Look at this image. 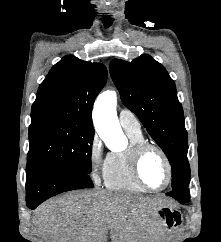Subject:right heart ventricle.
Returning a JSON list of instances; mask_svg holds the SVG:
<instances>
[{
	"instance_id": "right-heart-ventricle-1",
	"label": "right heart ventricle",
	"mask_w": 221,
	"mask_h": 242,
	"mask_svg": "<svg viewBox=\"0 0 221 242\" xmlns=\"http://www.w3.org/2000/svg\"><path fill=\"white\" fill-rule=\"evenodd\" d=\"M129 137V146L116 152L108 153L106 164L103 172L105 186L111 190H123L128 192H144L141 185L134 179L130 167L131 148L139 143L144 142L142 132H135L125 129Z\"/></svg>"
}]
</instances>
